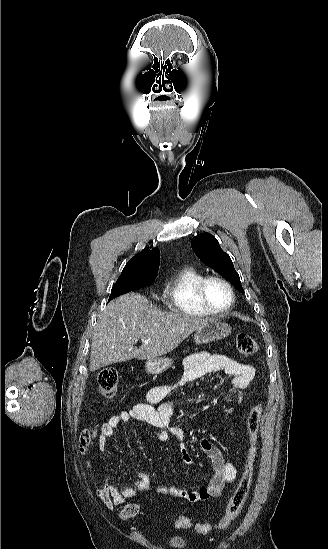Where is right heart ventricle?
<instances>
[{
    "label": "right heart ventricle",
    "instance_id": "obj_1",
    "mask_svg": "<svg viewBox=\"0 0 328 549\" xmlns=\"http://www.w3.org/2000/svg\"><path fill=\"white\" fill-rule=\"evenodd\" d=\"M206 274L196 268L188 267L172 274L166 281L164 289L158 297L159 303H175L179 310V319H207L200 313L197 305V288Z\"/></svg>",
    "mask_w": 328,
    "mask_h": 549
}]
</instances>
